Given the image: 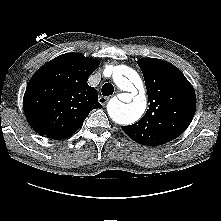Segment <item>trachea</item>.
Segmentation results:
<instances>
[{
	"mask_svg": "<svg viewBox=\"0 0 221 221\" xmlns=\"http://www.w3.org/2000/svg\"><path fill=\"white\" fill-rule=\"evenodd\" d=\"M114 92V87L111 83H105L102 87V95L109 96Z\"/></svg>",
	"mask_w": 221,
	"mask_h": 221,
	"instance_id": "3493384b",
	"label": "trachea"
}]
</instances>
